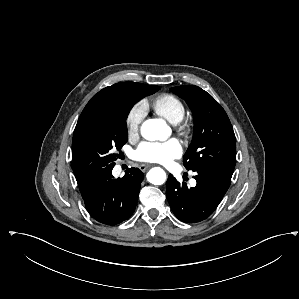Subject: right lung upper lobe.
<instances>
[{"mask_svg":"<svg viewBox=\"0 0 299 299\" xmlns=\"http://www.w3.org/2000/svg\"><path fill=\"white\" fill-rule=\"evenodd\" d=\"M146 86L135 82H121L102 89L85 106L74 133L80 131L94 116L109 105L118 101L137 99Z\"/></svg>","mask_w":299,"mask_h":299,"instance_id":"cb5924a9","label":"right lung upper lobe"}]
</instances>
